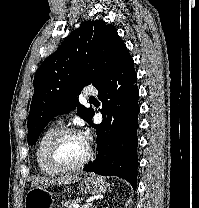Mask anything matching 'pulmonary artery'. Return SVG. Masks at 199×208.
I'll return each instance as SVG.
<instances>
[{
	"instance_id": "obj_1",
	"label": "pulmonary artery",
	"mask_w": 199,
	"mask_h": 208,
	"mask_svg": "<svg viewBox=\"0 0 199 208\" xmlns=\"http://www.w3.org/2000/svg\"><path fill=\"white\" fill-rule=\"evenodd\" d=\"M83 95L85 97H88V98H93L97 95V89L96 88H86L84 91H83ZM57 121L58 123H62L63 122V117L62 115H59L57 117Z\"/></svg>"
}]
</instances>
